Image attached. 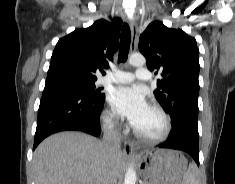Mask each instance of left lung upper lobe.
<instances>
[{
    "instance_id": "left-lung-upper-lobe-1",
    "label": "left lung upper lobe",
    "mask_w": 235,
    "mask_h": 184,
    "mask_svg": "<svg viewBox=\"0 0 235 184\" xmlns=\"http://www.w3.org/2000/svg\"><path fill=\"white\" fill-rule=\"evenodd\" d=\"M139 50L148 69L162 76L154 94L170 114L172 126L180 121L197 125L200 65L196 40L181 29L153 21L140 36Z\"/></svg>"
}]
</instances>
